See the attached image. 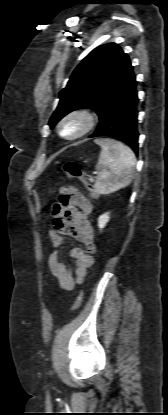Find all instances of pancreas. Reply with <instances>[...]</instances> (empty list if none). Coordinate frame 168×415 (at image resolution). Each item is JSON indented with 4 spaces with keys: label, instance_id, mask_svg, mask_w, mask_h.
<instances>
[{
    "label": "pancreas",
    "instance_id": "obj_1",
    "mask_svg": "<svg viewBox=\"0 0 168 415\" xmlns=\"http://www.w3.org/2000/svg\"><path fill=\"white\" fill-rule=\"evenodd\" d=\"M90 191H91L93 197L96 198L98 196L97 193H96V191L94 189H92Z\"/></svg>",
    "mask_w": 168,
    "mask_h": 415
}]
</instances>
